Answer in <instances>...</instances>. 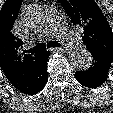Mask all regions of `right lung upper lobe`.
I'll use <instances>...</instances> for the list:
<instances>
[{
	"mask_svg": "<svg viewBox=\"0 0 113 113\" xmlns=\"http://www.w3.org/2000/svg\"><path fill=\"white\" fill-rule=\"evenodd\" d=\"M22 1L6 0L0 10V67L16 89L32 77L42 57V52H23V41L12 33Z\"/></svg>",
	"mask_w": 113,
	"mask_h": 113,
	"instance_id": "right-lung-upper-lobe-1",
	"label": "right lung upper lobe"
}]
</instances>
